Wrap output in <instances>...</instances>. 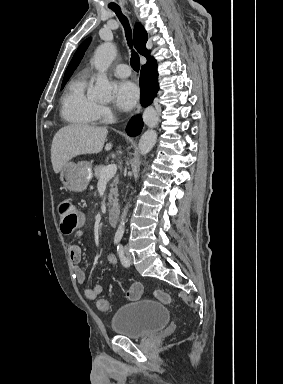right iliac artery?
<instances>
[{
  "mask_svg": "<svg viewBox=\"0 0 283 384\" xmlns=\"http://www.w3.org/2000/svg\"><path fill=\"white\" fill-rule=\"evenodd\" d=\"M120 240H121V236L116 235L114 238V243L118 244Z\"/></svg>",
  "mask_w": 283,
  "mask_h": 384,
  "instance_id": "right-iliac-artery-1",
  "label": "right iliac artery"
}]
</instances>
